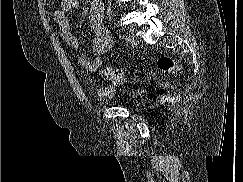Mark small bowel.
Returning <instances> with one entry per match:
<instances>
[{
	"label": "small bowel",
	"mask_w": 243,
	"mask_h": 182,
	"mask_svg": "<svg viewBox=\"0 0 243 182\" xmlns=\"http://www.w3.org/2000/svg\"><path fill=\"white\" fill-rule=\"evenodd\" d=\"M78 6V0H61L60 9L53 14L54 21L59 27L60 35L64 42L74 51L80 50V40L70 29L68 14ZM104 4L102 0H92L89 7V20L93 33L92 52L96 60H91L86 54H79L77 62L79 66L89 73L96 72L102 64L103 56L112 48L113 38L105 26Z\"/></svg>",
	"instance_id": "obj_1"
}]
</instances>
